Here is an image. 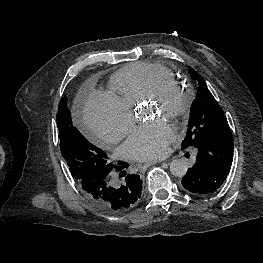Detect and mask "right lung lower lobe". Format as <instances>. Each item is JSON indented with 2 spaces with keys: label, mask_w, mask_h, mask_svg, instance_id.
Masks as SVG:
<instances>
[{
  "label": "right lung lower lobe",
  "mask_w": 263,
  "mask_h": 263,
  "mask_svg": "<svg viewBox=\"0 0 263 263\" xmlns=\"http://www.w3.org/2000/svg\"><path fill=\"white\" fill-rule=\"evenodd\" d=\"M128 166L127 163L119 162L115 170L122 171ZM79 185L93 205L109 213L130 203H136L142 190V181L135 174H128L121 186L111 184L109 173L87 176L80 180Z\"/></svg>",
  "instance_id": "98d812e1"
}]
</instances>
